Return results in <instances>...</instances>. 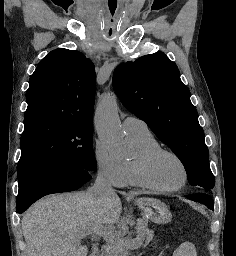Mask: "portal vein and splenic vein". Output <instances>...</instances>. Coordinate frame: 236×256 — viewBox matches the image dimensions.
Listing matches in <instances>:
<instances>
[{"instance_id": "18ae733b", "label": "portal vein and splenic vein", "mask_w": 236, "mask_h": 256, "mask_svg": "<svg viewBox=\"0 0 236 256\" xmlns=\"http://www.w3.org/2000/svg\"><path fill=\"white\" fill-rule=\"evenodd\" d=\"M85 230H87V228H85ZM106 232H108V230H105V228H93V232L92 234H96V236H103V234H106ZM86 234L84 232L83 236H81L80 240H82V238H85Z\"/></svg>"}]
</instances>
